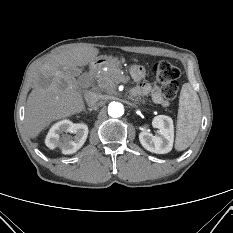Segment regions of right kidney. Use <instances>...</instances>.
<instances>
[{"label":"right kidney","instance_id":"1","mask_svg":"<svg viewBox=\"0 0 233 233\" xmlns=\"http://www.w3.org/2000/svg\"><path fill=\"white\" fill-rule=\"evenodd\" d=\"M63 132L74 133L75 136H61ZM87 136L88 126L86 124H74L70 120H62L50 128L45 139V144L50 149L59 147L63 154H73L83 146Z\"/></svg>","mask_w":233,"mask_h":233}]
</instances>
